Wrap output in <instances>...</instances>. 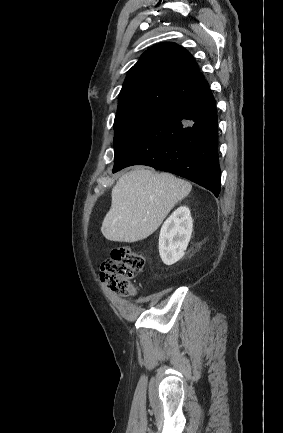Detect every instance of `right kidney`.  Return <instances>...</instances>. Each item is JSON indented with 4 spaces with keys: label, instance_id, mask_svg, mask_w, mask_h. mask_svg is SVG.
Masks as SVG:
<instances>
[{
    "label": "right kidney",
    "instance_id": "1",
    "mask_svg": "<svg viewBox=\"0 0 283 433\" xmlns=\"http://www.w3.org/2000/svg\"><path fill=\"white\" fill-rule=\"evenodd\" d=\"M193 231V221L188 207L177 208L162 225L159 236V253L164 264L172 265L185 254Z\"/></svg>",
    "mask_w": 283,
    "mask_h": 433
}]
</instances>
